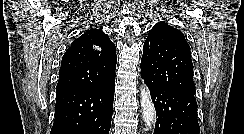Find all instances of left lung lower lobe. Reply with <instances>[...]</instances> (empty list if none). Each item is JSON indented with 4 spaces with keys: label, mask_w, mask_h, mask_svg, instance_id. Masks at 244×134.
<instances>
[{
    "label": "left lung lower lobe",
    "mask_w": 244,
    "mask_h": 134,
    "mask_svg": "<svg viewBox=\"0 0 244 134\" xmlns=\"http://www.w3.org/2000/svg\"><path fill=\"white\" fill-rule=\"evenodd\" d=\"M158 116L154 134H199L194 94L155 86L141 70Z\"/></svg>",
    "instance_id": "1"
}]
</instances>
